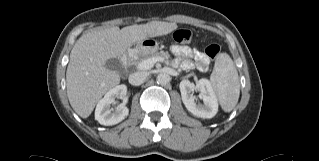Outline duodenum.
Instances as JSON below:
<instances>
[{"label":"duodenum","instance_id":"duodenum-1","mask_svg":"<svg viewBox=\"0 0 319 161\" xmlns=\"http://www.w3.org/2000/svg\"><path fill=\"white\" fill-rule=\"evenodd\" d=\"M122 61H123V63H126L128 61V56L124 55L123 58H122Z\"/></svg>","mask_w":319,"mask_h":161}]
</instances>
